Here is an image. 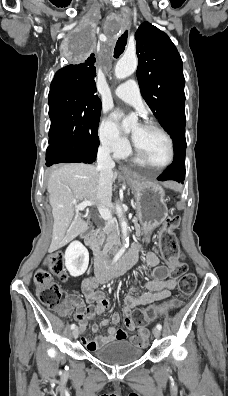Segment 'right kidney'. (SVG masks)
I'll return each mask as SVG.
<instances>
[{
    "mask_svg": "<svg viewBox=\"0 0 228 396\" xmlns=\"http://www.w3.org/2000/svg\"><path fill=\"white\" fill-rule=\"evenodd\" d=\"M65 266L73 277L85 273L89 264V253L85 246L79 241H73L65 251Z\"/></svg>",
    "mask_w": 228,
    "mask_h": 396,
    "instance_id": "obj_1",
    "label": "right kidney"
}]
</instances>
